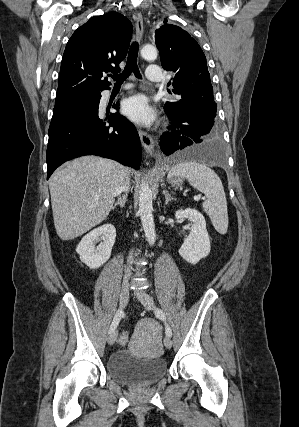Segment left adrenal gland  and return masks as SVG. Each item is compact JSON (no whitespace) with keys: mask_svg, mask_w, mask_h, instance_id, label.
<instances>
[{"mask_svg":"<svg viewBox=\"0 0 299 427\" xmlns=\"http://www.w3.org/2000/svg\"><path fill=\"white\" fill-rule=\"evenodd\" d=\"M163 193L165 195V204H168V202L171 200H175L173 198V196H171L167 190H165Z\"/></svg>","mask_w":299,"mask_h":427,"instance_id":"obj_1","label":"left adrenal gland"}]
</instances>
